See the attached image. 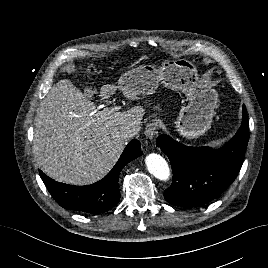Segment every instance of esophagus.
Here are the masks:
<instances>
[{
    "mask_svg": "<svg viewBox=\"0 0 268 268\" xmlns=\"http://www.w3.org/2000/svg\"><path fill=\"white\" fill-rule=\"evenodd\" d=\"M158 125L155 122L149 123L145 128V136L147 139H153L157 133Z\"/></svg>",
    "mask_w": 268,
    "mask_h": 268,
    "instance_id": "obj_1",
    "label": "esophagus"
}]
</instances>
